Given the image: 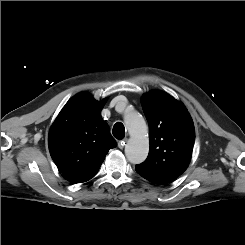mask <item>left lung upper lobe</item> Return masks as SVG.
<instances>
[{"mask_svg":"<svg viewBox=\"0 0 245 245\" xmlns=\"http://www.w3.org/2000/svg\"><path fill=\"white\" fill-rule=\"evenodd\" d=\"M150 131L147 159L136 169L174 181L189 166L195 141L193 120L186 107L162 91H151L142 99Z\"/></svg>","mask_w":245,"mask_h":245,"instance_id":"1","label":"left lung upper lobe"}]
</instances>
